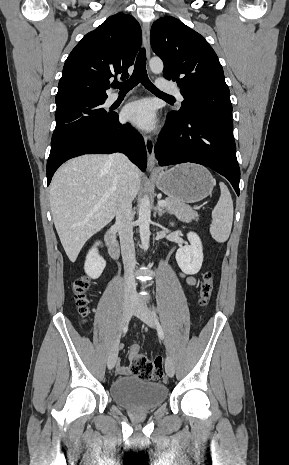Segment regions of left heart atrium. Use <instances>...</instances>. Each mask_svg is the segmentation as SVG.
I'll use <instances>...</instances> for the list:
<instances>
[{"mask_svg": "<svg viewBox=\"0 0 289 465\" xmlns=\"http://www.w3.org/2000/svg\"><path fill=\"white\" fill-rule=\"evenodd\" d=\"M123 116L141 129H151L156 122V108L151 100L141 99L129 103L123 111Z\"/></svg>", "mask_w": 289, "mask_h": 465, "instance_id": "left-heart-atrium-1", "label": "left heart atrium"}]
</instances>
